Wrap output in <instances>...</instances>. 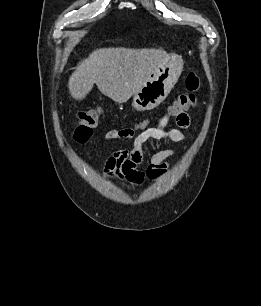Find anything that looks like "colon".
Returning a JSON list of instances; mask_svg holds the SVG:
<instances>
[{
  "instance_id": "1",
  "label": "colon",
  "mask_w": 261,
  "mask_h": 306,
  "mask_svg": "<svg viewBox=\"0 0 261 306\" xmlns=\"http://www.w3.org/2000/svg\"><path fill=\"white\" fill-rule=\"evenodd\" d=\"M201 87V81L197 74L191 72L186 78L187 92L180 94L170 107V112L177 117L185 114L197 103V93ZM99 123V112L96 109H87L79 112L78 123L74 130V139L84 144L90 140ZM127 134L132 136L133 131L127 129Z\"/></svg>"
}]
</instances>
